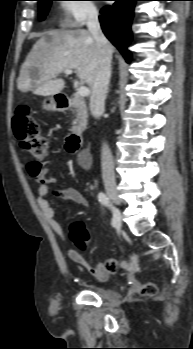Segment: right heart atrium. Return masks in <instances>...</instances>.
<instances>
[{"instance_id": "d8ad5b80", "label": "right heart atrium", "mask_w": 193, "mask_h": 349, "mask_svg": "<svg viewBox=\"0 0 193 349\" xmlns=\"http://www.w3.org/2000/svg\"><path fill=\"white\" fill-rule=\"evenodd\" d=\"M62 22L68 27H80L97 17L98 11L91 0H64L61 4Z\"/></svg>"}]
</instances>
